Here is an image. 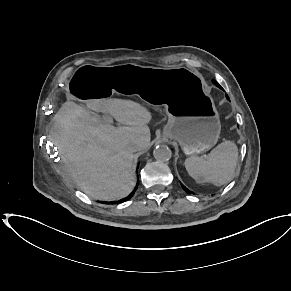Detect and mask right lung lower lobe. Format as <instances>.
Segmentation results:
<instances>
[{
  "mask_svg": "<svg viewBox=\"0 0 291 291\" xmlns=\"http://www.w3.org/2000/svg\"><path fill=\"white\" fill-rule=\"evenodd\" d=\"M137 186H138V183H137L135 189H134V190H133V191H132V192H131L127 197H125V198H123V199H121V200H119V201H112V202H110V204L122 203V202H125V201L131 199V198L133 197V195H134L136 189H137ZM101 203H105V204H107V202H101Z\"/></svg>",
  "mask_w": 291,
  "mask_h": 291,
  "instance_id": "right-lung-lower-lobe-1",
  "label": "right lung lower lobe"
}]
</instances>
